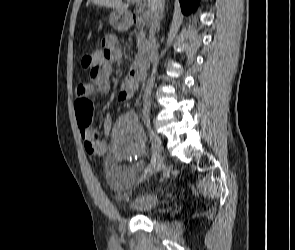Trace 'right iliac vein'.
Listing matches in <instances>:
<instances>
[{
	"label": "right iliac vein",
	"mask_w": 295,
	"mask_h": 250,
	"mask_svg": "<svg viewBox=\"0 0 295 250\" xmlns=\"http://www.w3.org/2000/svg\"><path fill=\"white\" fill-rule=\"evenodd\" d=\"M147 128L149 131V136H150L151 145H152L151 147L152 155L156 158V163L148 175L142 176L141 181H144L148 176L153 175L154 173L160 172L161 170L164 169V157L162 154L161 140L159 136L152 131L149 121H147Z\"/></svg>",
	"instance_id": "63e3f726"
}]
</instances>
